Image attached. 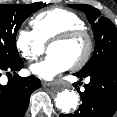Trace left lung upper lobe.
Returning a JSON list of instances; mask_svg holds the SVG:
<instances>
[{
  "label": "left lung upper lobe",
  "instance_id": "1",
  "mask_svg": "<svg viewBox=\"0 0 117 117\" xmlns=\"http://www.w3.org/2000/svg\"><path fill=\"white\" fill-rule=\"evenodd\" d=\"M69 6L86 14L96 40L92 58L77 72L80 75H86L112 58H117V28L108 18L101 16L98 9L90 5L69 4Z\"/></svg>",
  "mask_w": 117,
  "mask_h": 117
}]
</instances>
